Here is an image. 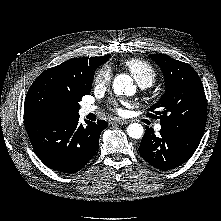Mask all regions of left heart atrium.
Masks as SVG:
<instances>
[{
	"mask_svg": "<svg viewBox=\"0 0 221 221\" xmlns=\"http://www.w3.org/2000/svg\"><path fill=\"white\" fill-rule=\"evenodd\" d=\"M113 106H114V110L117 113L121 114L123 112V110L121 109V107L117 103H114Z\"/></svg>",
	"mask_w": 221,
	"mask_h": 221,
	"instance_id": "left-heart-atrium-1",
	"label": "left heart atrium"
}]
</instances>
